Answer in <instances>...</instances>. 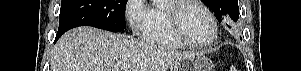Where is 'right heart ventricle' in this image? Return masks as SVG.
Returning a JSON list of instances; mask_svg holds the SVG:
<instances>
[{"label":"right heart ventricle","mask_w":301,"mask_h":71,"mask_svg":"<svg viewBox=\"0 0 301 71\" xmlns=\"http://www.w3.org/2000/svg\"><path fill=\"white\" fill-rule=\"evenodd\" d=\"M143 40L158 46L170 48H184V45L173 34L165 11L156 6L151 9L149 20L143 30Z\"/></svg>","instance_id":"1"}]
</instances>
